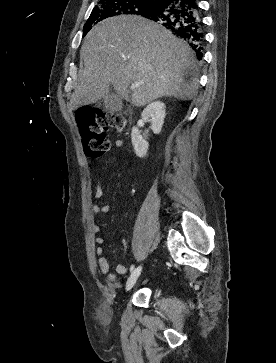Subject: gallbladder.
I'll return each mask as SVG.
<instances>
[{
    "label": "gallbladder",
    "mask_w": 276,
    "mask_h": 363,
    "mask_svg": "<svg viewBox=\"0 0 276 363\" xmlns=\"http://www.w3.org/2000/svg\"><path fill=\"white\" fill-rule=\"evenodd\" d=\"M99 103L111 112H119L123 107L122 101L112 92H109Z\"/></svg>",
    "instance_id": "obj_1"
}]
</instances>
